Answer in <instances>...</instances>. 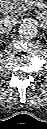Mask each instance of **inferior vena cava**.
Returning <instances> with one entry per match:
<instances>
[{"label":"inferior vena cava","mask_w":47,"mask_h":129,"mask_svg":"<svg viewBox=\"0 0 47 129\" xmlns=\"http://www.w3.org/2000/svg\"><path fill=\"white\" fill-rule=\"evenodd\" d=\"M17 24V19L11 16H8L1 20V31L9 32Z\"/></svg>","instance_id":"602c4592"}]
</instances>
